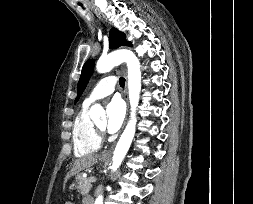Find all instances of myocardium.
Returning <instances> with one entry per match:
<instances>
[{"label": "myocardium", "instance_id": "obj_1", "mask_svg": "<svg viewBox=\"0 0 253 204\" xmlns=\"http://www.w3.org/2000/svg\"><path fill=\"white\" fill-rule=\"evenodd\" d=\"M94 126H95V129H96L98 137L102 136V134H103V128H100L96 124H94Z\"/></svg>", "mask_w": 253, "mask_h": 204}]
</instances>
